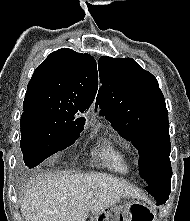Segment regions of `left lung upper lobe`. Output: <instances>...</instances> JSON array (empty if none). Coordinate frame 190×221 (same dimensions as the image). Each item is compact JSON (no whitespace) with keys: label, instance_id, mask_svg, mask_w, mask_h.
Wrapping results in <instances>:
<instances>
[{"label":"left lung upper lobe","instance_id":"1","mask_svg":"<svg viewBox=\"0 0 190 221\" xmlns=\"http://www.w3.org/2000/svg\"><path fill=\"white\" fill-rule=\"evenodd\" d=\"M101 88L96 108L140 155V175L147 186L170 172L168 111L158 81L132 58L102 56Z\"/></svg>","mask_w":190,"mask_h":221}]
</instances>
